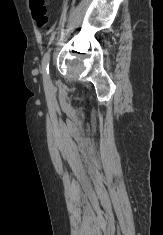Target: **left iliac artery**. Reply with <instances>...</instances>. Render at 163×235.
Segmentation results:
<instances>
[{
	"label": "left iliac artery",
	"instance_id": "1",
	"mask_svg": "<svg viewBox=\"0 0 163 235\" xmlns=\"http://www.w3.org/2000/svg\"><path fill=\"white\" fill-rule=\"evenodd\" d=\"M49 65H50V50H48L42 59V73L44 78L49 77Z\"/></svg>",
	"mask_w": 163,
	"mask_h": 235
}]
</instances>
